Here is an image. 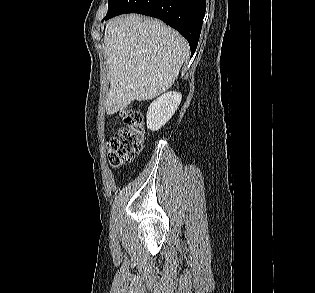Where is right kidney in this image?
Here are the masks:
<instances>
[{"mask_svg": "<svg viewBox=\"0 0 315 293\" xmlns=\"http://www.w3.org/2000/svg\"><path fill=\"white\" fill-rule=\"evenodd\" d=\"M181 99L180 93L170 91L153 101L146 115L147 128L151 131H157L164 126L177 110Z\"/></svg>", "mask_w": 315, "mask_h": 293, "instance_id": "ca27d5eb", "label": "right kidney"}]
</instances>
